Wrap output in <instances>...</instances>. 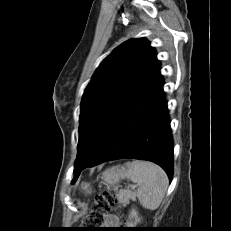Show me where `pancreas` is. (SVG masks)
<instances>
[{
  "mask_svg": "<svg viewBox=\"0 0 231 231\" xmlns=\"http://www.w3.org/2000/svg\"><path fill=\"white\" fill-rule=\"evenodd\" d=\"M119 204L126 205L130 199H135V193L130 190H121L116 194Z\"/></svg>",
  "mask_w": 231,
  "mask_h": 231,
  "instance_id": "1",
  "label": "pancreas"
}]
</instances>
